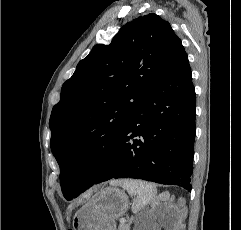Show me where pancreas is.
Returning a JSON list of instances; mask_svg holds the SVG:
<instances>
[{
	"label": "pancreas",
	"instance_id": "obj_1",
	"mask_svg": "<svg viewBox=\"0 0 241 230\" xmlns=\"http://www.w3.org/2000/svg\"><path fill=\"white\" fill-rule=\"evenodd\" d=\"M118 230H129V223L121 224Z\"/></svg>",
	"mask_w": 241,
	"mask_h": 230
}]
</instances>
